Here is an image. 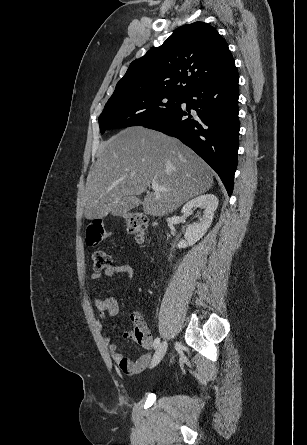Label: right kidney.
Returning <instances> with one entry per match:
<instances>
[{
	"label": "right kidney",
	"mask_w": 307,
	"mask_h": 445,
	"mask_svg": "<svg viewBox=\"0 0 307 445\" xmlns=\"http://www.w3.org/2000/svg\"><path fill=\"white\" fill-rule=\"evenodd\" d=\"M218 202L219 200L215 194H201V196H196V198H192V200H188V202L184 204L182 212H189L193 206H198V208H204V214L203 218H200V223L188 225L184 235L185 241L178 243V249L191 247V245H195L197 241H200V239L204 237L212 223ZM171 235H174V233H171ZM167 237H170V235H167Z\"/></svg>",
	"instance_id": "obj_1"
}]
</instances>
